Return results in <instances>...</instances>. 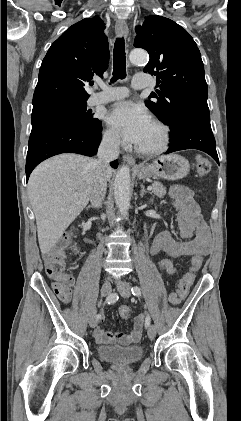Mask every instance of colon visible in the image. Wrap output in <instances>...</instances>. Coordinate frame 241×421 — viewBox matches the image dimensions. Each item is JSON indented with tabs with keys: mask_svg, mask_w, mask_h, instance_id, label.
<instances>
[{
	"mask_svg": "<svg viewBox=\"0 0 241 421\" xmlns=\"http://www.w3.org/2000/svg\"><path fill=\"white\" fill-rule=\"evenodd\" d=\"M196 169L200 176H206L211 170L210 161L203 157H196ZM70 237H66L64 244L60 247H55L48 250L44 254L45 269L47 275L55 281L54 289L58 290L59 287L68 285L73 281V278L66 271V258L64 253V248L69 244ZM203 258L202 256H194L190 262L189 271L181 278L176 295L179 299H184L196 278V274L202 266ZM157 267L161 272L167 274H175L177 272V266L170 259H161L157 263ZM120 316L124 319H127L130 315V308L127 305H123L119 309Z\"/></svg>",
	"mask_w": 241,
	"mask_h": 421,
	"instance_id": "colon-1",
	"label": "colon"
}]
</instances>
